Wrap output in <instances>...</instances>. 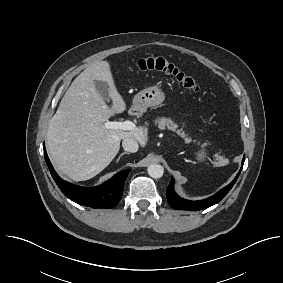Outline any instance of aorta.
I'll list each match as a JSON object with an SVG mask.
<instances>
[{
  "label": "aorta",
  "mask_w": 283,
  "mask_h": 283,
  "mask_svg": "<svg viewBox=\"0 0 283 283\" xmlns=\"http://www.w3.org/2000/svg\"><path fill=\"white\" fill-rule=\"evenodd\" d=\"M148 174L152 178H161L164 174V168L159 164H151L148 166Z\"/></svg>",
  "instance_id": "1"
}]
</instances>
